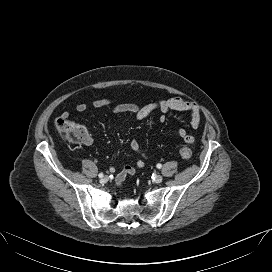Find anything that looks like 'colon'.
<instances>
[{
	"label": "colon",
	"instance_id": "colon-1",
	"mask_svg": "<svg viewBox=\"0 0 272 272\" xmlns=\"http://www.w3.org/2000/svg\"><path fill=\"white\" fill-rule=\"evenodd\" d=\"M58 134L65 140L74 143H85L89 140V133L80 124L70 121L68 118L60 117L55 122ZM180 156L188 160L192 157V151L188 143L180 147Z\"/></svg>",
	"mask_w": 272,
	"mask_h": 272
}]
</instances>
